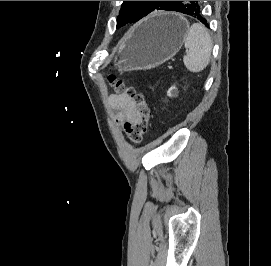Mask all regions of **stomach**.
<instances>
[{"mask_svg": "<svg viewBox=\"0 0 271 266\" xmlns=\"http://www.w3.org/2000/svg\"><path fill=\"white\" fill-rule=\"evenodd\" d=\"M188 22L176 13H158L135 27L121 43L114 66L120 71L161 65L181 48Z\"/></svg>", "mask_w": 271, "mask_h": 266, "instance_id": "obj_1", "label": "stomach"}]
</instances>
